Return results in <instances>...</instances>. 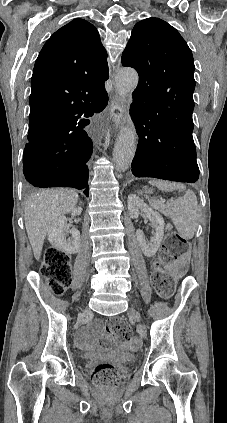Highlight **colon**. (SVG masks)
I'll return each mask as SVG.
<instances>
[{"label": "colon", "instance_id": "5ec220e1", "mask_svg": "<svg viewBox=\"0 0 227 423\" xmlns=\"http://www.w3.org/2000/svg\"><path fill=\"white\" fill-rule=\"evenodd\" d=\"M186 250L185 240L176 232H169L166 241L153 263L151 281L159 295H170L173 282L163 266L180 259ZM41 274L48 280L49 287L56 295H61L71 283L70 257L55 247L46 250ZM131 335L129 325L122 319H114L105 329L106 342L114 338L127 339ZM91 378L100 386H109L118 378L116 369L109 364H103L92 370Z\"/></svg>", "mask_w": 227, "mask_h": 423}]
</instances>
